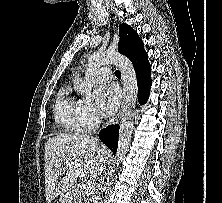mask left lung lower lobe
Wrapping results in <instances>:
<instances>
[{
    "label": "left lung lower lobe",
    "instance_id": "obj_1",
    "mask_svg": "<svg viewBox=\"0 0 222 203\" xmlns=\"http://www.w3.org/2000/svg\"><path fill=\"white\" fill-rule=\"evenodd\" d=\"M130 61L136 70L139 101L141 104H144L149 97L152 80L150 76L151 66L148 62V55L145 52L143 45L138 49L135 55L130 58Z\"/></svg>",
    "mask_w": 222,
    "mask_h": 203
}]
</instances>
